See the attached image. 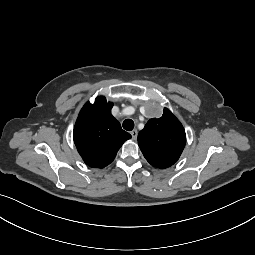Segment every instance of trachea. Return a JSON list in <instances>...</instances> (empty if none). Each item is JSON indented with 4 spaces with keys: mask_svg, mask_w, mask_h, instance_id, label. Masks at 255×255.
<instances>
[{
    "mask_svg": "<svg viewBox=\"0 0 255 255\" xmlns=\"http://www.w3.org/2000/svg\"><path fill=\"white\" fill-rule=\"evenodd\" d=\"M123 128L127 131H131L134 128V122L131 119H126L123 122Z\"/></svg>",
    "mask_w": 255,
    "mask_h": 255,
    "instance_id": "trachea-1",
    "label": "trachea"
}]
</instances>
